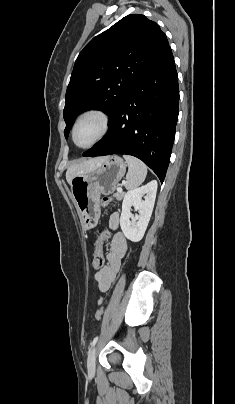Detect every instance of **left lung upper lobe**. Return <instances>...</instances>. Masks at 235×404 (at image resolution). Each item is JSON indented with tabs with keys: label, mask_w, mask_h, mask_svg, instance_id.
<instances>
[{
	"label": "left lung upper lobe",
	"mask_w": 235,
	"mask_h": 404,
	"mask_svg": "<svg viewBox=\"0 0 235 404\" xmlns=\"http://www.w3.org/2000/svg\"><path fill=\"white\" fill-rule=\"evenodd\" d=\"M169 46L166 35L144 15L131 14L94 37L75 61L66 91L65 137L80 112L115 116L141 76Z\"/></svg>",
	"instance_id": "left-lung-upper-lobe-1"
}]
</instances>
